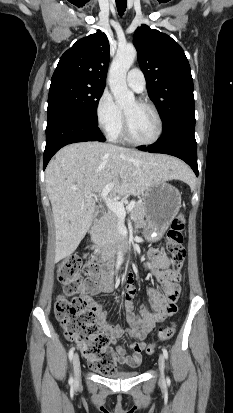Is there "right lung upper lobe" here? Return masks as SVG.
Returning <instances> with one entry per match:
<instances>
[{
  "mask_svg": "<svg viewBox=\"0 0 233 413\" xmlns=\"http://www.w3.org/2000/svg\"><path fill=\"white\" fill-rule=\"evenodd\" d=\"M109 63V42L105 33L78 40L60 58L51 83L72 80L105 86Z\"/></svg>",
  "mask_w": 233,
  "mask_h": 413,
  "instance_id": "cb5924a9",
  "label": "right lung upper lobe"
}]
</instances>
